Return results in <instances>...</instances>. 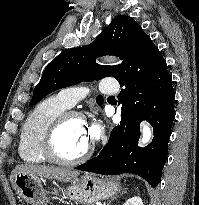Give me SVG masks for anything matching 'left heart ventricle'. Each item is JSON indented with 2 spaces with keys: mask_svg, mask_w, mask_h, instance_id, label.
<instances>
[{
  "mask_svg": "<svg viewBox=\"0 0 199 205\" xmlns=\"http://www.w3.org/2000/svg\"><path fill=\"white\" fill-rule=\"evenodd\" d=\"M87 125L80 119L68 120L58 131L55 147L59 155L73 158L80 155L91 143Z\"/></svg>",
  "mask_w": 199,
  "mask_h": 205,
  "instance_id": "left-heart-ventricle-1",
  "label": "left heart ventricle"
}]
</instances>
